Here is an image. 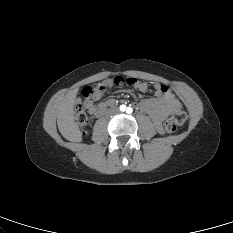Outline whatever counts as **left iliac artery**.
<instances>
[{"instance_id":"1","label":"left iliac artery","mask_w":233,"mask_h":233,"mask_svg":"<svg viewBox=\"0 0 233 233\" xmlns=\"http://www.w3.org/2000/svg\"><path fill=\"white\" fill-rule=\"evenodd\" d=\"M126 112H127L128 114H131V113L133 112V109H132L131 107H128L127 110H126Z\"/></svg>"}]
</instances>
